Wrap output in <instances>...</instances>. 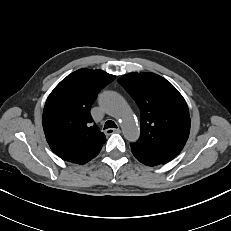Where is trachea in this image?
Here are the masks:
<instances>
[{"mask_svg":"<svg viewBox=\"0 0 231 231\" xmlns=\"http://www.w3.org/2000/svg\"><path fill=\"white\" fill-rule=\"evenodd\" d=\"M108 128H117V125L113 121L108 120L104 125V129Z\"/></svg>","mask_w":231,"mask_h":231,"instance_id":"obj_1","label":"trachea"}]
</instances>
